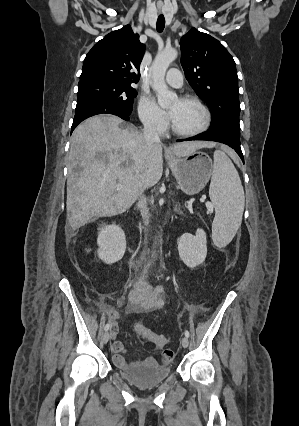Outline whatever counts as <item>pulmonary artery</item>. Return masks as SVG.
Returning a JSON list of instances; mask_svg holds the SVG:
<instances>
[{
	"instance_id": "1",
	"label": "pulmonary artery",
	"mask_w": 299,
	"mask_h": 426,
	"mask_svg": "<svg viewBox=\"0 0 299 426\" xmlns=\"http://www.w3.org/2000/svg\"><path fill=\"white\" fill-rule=\"evenodd\" d=\"M166 81L173 87H181L183 84V75L180 70L171 68L166 74Z\"/></svg>"
}]
</instances>
